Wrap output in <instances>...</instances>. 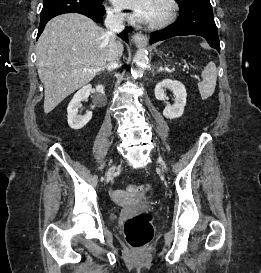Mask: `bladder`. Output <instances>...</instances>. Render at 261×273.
<instances>
[{"label":"bladder","mask_w":261,"mask_h":273,"mask_svg":"<svg viewBox=\"0 0 261 273\" xmlns=\"http://www.w3.org/2000/svg\"><path fill=\"white\" fill-rule=\"evenodd\" d=\"M115 215H116V214H115V213H113V215H112V216L114 217Z\"/></svg>","instance_id":"obj_1"}]
</instances>
